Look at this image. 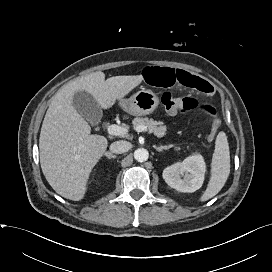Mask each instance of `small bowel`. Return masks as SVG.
Instances as JSON below:
<instances>
[{"mask_svg":"<svg viewBox=\"0 0 272 272\" xmlns=\"http://www.w3.org/2000/svg\"><path fill=\"white\" fill-rule=\"evenodd\" d=\"M144 80L155 87L181 86L202 93L214 92V87L202 78L181 69L147 67L143 71Z\"/></svg>","mask_w":272,"mask_h":272,"instance_id":"c3829d8e","label":"small bowel"}]
</instances>
